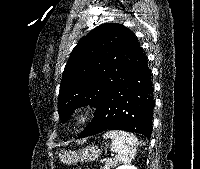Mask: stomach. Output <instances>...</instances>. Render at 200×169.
Returning <instances> with one entry per match:
<instances>
[{"instance_id": "0dacf381", "label": "stomach", "mask_w": 200, "mask_h": 169, "mask_svg": "<svg viewBox=\"0 0 200 169\" xmlns=\"http://www.w3.org/2000/svg\"><path fill=\"white\" fill-rule=\"evenodd\" d=\"M101 153L98 146H88L79 151H66L59 155L61 162L65 164H74L79 161H94Z\"/></svg>"}]
</instances>
